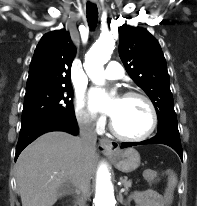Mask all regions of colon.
Here are the masks:
<instances>
[{
    "mask_svg": "<svg viewBox=\"0 0 197 206\" xmlns=\"http://www.w3.org/2000/svg\"><path fill=\"white\" fill-rule=\"evenodd\" d=\"M173 191H174V184L171 183L167 190H166V194H165V203H166V206H168L172 200V197H173Z\"/></svg>",
    "mask_w": 197,
    "mask_h": 206,
    "instance_id": "colon-1",
    "label": "colon"
}]
</instances>
